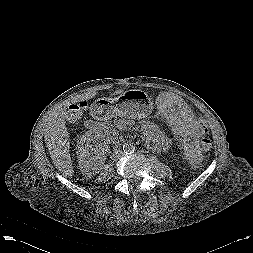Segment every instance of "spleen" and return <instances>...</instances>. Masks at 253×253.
Here are the masks:
<instances>
[{
	"label": "spleen",
	"instance_id": "1",
	"mask_svg": "<svg viewBox=\"0 0 253 253\" xmlns=\"http://www.w3.org/2000/svg\"><path fill=\"white\" fill-rule=\"evenodd\" d=\"M155 109L166 129L181 145V160L192 167L202 165L208 156L207 148L201 142L204 130L186 100L176 93H165L158 98Z\"/></svg>",
	"mask_w": 253,
	"mask_h": 253
}]
</instances>
